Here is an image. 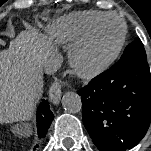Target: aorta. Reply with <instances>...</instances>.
<instances>
[{
  "instance_id": "762f6f07",
  "label": "aorta",
  "mask_w": 151,
  "mask_h": 151,
  "mask_svg": "<svg viewBox=\"0 0 151 151\" xmlns=\"http://www.w3.org/2000/svg\"><path fill=\"white\" fill-rule=\"evenodd\" d=\"M61 102L63 108L69 113H77L82 108L81 97L75 92H66Z\"/></svg>"
}]
</instances>
